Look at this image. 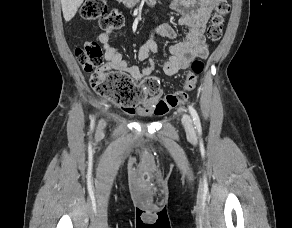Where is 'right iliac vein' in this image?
<instances>
[{
    "label": "right iliac vein",
    "instance_id": "right-iliac-vein-1",
    "mask_svg": "<svg viewBox=\"0 0 292 228\" xmlns=\"http://www.w3.org/2000/svg\"><path fill=\"white\" fill-rule=\"evenodd\" d=\"M104 127H105V122H104L103 120H101V121L99 122V124H98L97 132H98L99 134H101V133L103 132Z\"/></svg>",
    "mask_w": 292,
    "mask_h": 228
}]
</instances>
